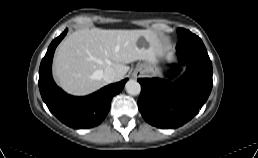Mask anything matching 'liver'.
I'll return each mask as SVG.
<instances>
[{
	"label": "liver",
	"mask_w": 258,
	"mask_h": 158,
	"mask_svg": "<svg viewBox=\"0 0 258 158\" xmlns=\"http://www.w3.org/2000/svg\"><path fill=\"white\" fill-rule=\"evenodd\" d=\"M163 45L150 30L81 29L71 33L58 46L53 70L58 84L73 95H87L107 82L105 68L111 67L123 79L129 70L126 64L144 60L157 62Z\"/></svg>",
	"instance_id": "6515ba94"
}]
</instances>
